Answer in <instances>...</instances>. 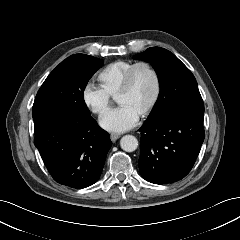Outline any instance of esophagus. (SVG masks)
I'll list each match as a JSON object with an SVG mask.
<instances>
[{"label": "esophagus", "mask_w": 240, "mask_h": 240, "mask_svg": "<svg viewBox=\"0 0 240 240\" xmlns=\"http://www.w3.org/2000/svg\"><path fill=\"white\" fill-rule=\"evenodd\" d=\"M119 137H120V135L115 134V133H112V134L110 135V138H111V141H112V142H115Z\"/></svg>", "instance_id": "1"}]
</instances>
